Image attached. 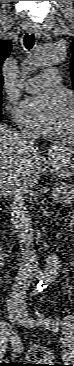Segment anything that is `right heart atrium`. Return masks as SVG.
Instances as JSON below:
<instances>
[{"instance_id":"obj_1","label":"right heart atrium","mask_w":74,"mask_h":366,"mask_svg":"<svg viewBox=\"0 0 74 366\" xmlns=\"http://www.w3.org/2000/svg\"><path fill=\"white\" fill-rule=\"evenodd\" d=\"M18 121L22 124V125H24L20 120H19V117H18ZM25 126V125H24ZM20 127H22V126H20Z\"/></svg>"}]
</instances>
